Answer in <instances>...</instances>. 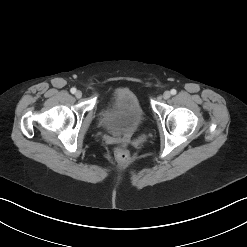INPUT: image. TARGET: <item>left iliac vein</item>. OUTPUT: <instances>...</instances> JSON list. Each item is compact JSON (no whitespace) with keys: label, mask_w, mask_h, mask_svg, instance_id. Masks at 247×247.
<instances>
[{"label":"left iliac vein","mask_w":247,"mask_h":247,"mask_svg":"<svg viewBox=\"0 0 247 247\" xmlns=\"http://www.w3.org/2000/svg\"><path fill=\"white\" fill-rule=\"evenodd\" d=\"M170 97H171V93H170L169 91H165V92L163 93V98H164L165 100L169 99Z\"/></svg>","instance_id":"1"}]
</instances>
